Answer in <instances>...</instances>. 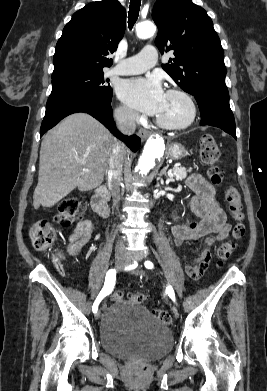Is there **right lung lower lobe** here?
<instances>
[{"instance_id":"1","label":"right lung lower lobe","mask_w":267,"mask_h":391,"mask_svg":"<svg viewBox=\"0 0 267 391\" xmlns=\"http://www.w3.org/2000/svg\"><path fill=\"white\" fill-rule=\"evenodd\" d=\"M111 99L80 93H70L49 98L40 129V136L54 127L64 117L76 112H85L99 120L117 138L125 142L132 151H137L140 147V138L136 135L125 136L116 129L113 122Z\"/></svg>"}]
</instances>
